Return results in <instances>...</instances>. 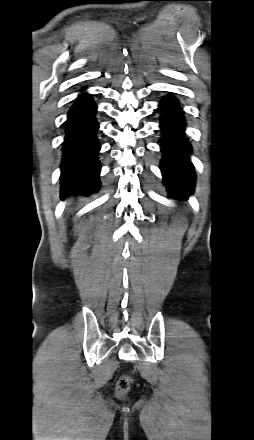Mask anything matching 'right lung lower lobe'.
Masks as SVG:
<instances>
[{
	"label": "right lung lower lobe",
	"instance_id": "obj_1",
	"mask_svg": "<svg viewBox=\"0 0 254 440\" xmlns=\"http://www.w3.org/2000/svg\"><path fill=\"white\" fill-rule=\"evenodd\" d=\"M96 104L91 95L81 94L68 113L62 146L61 198L99 190L100 143L96 131Z\"/></svg>",
	"mask_w": 254,
	"mask_h": 440
}]
</instances>
